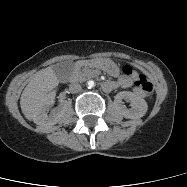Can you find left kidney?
I'll return each instance as SVG.
<instances>
[{
    "label": "left kidney",
    "instance_id": "obj_1",
    "mask_svg": "<svg viewBox=\"0 0 187 187\" xmlns=\"http://www.w3.org/2000/svg\"><path fill=\"white\" fill-rule=\"evenodd\" d=\"M125 99L131 102V109H126L122 104V100ZM114 104L118 112L125 118L137 119L145 115L148 109L146 101L140 96L128 92L122 91L115 96Z\"/></svg>",
    "mask_w": 187,
    "mask_h": 187
}]
</instances>
